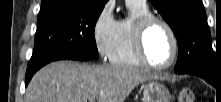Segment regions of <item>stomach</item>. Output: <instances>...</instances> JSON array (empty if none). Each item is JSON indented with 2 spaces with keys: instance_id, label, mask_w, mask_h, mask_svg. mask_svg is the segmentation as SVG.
Wrapping results in <instances>:
<instances>
[{
  "instance_id": "obj_1",
  "label": "stomach",
  "mask_w": 221,
  "mask_h": 102,
  "mask_svg": "<svg viewBox=\"0 0 221 102\" xmlns=\"http://www.w3.org/2000/svg\"><path fill=\"white\" fill-rule=\"evenodd\" d=\"M144 102H170L169 90L158 81L148 82L143 86Z\"/></svg>"
}]
</instances>
